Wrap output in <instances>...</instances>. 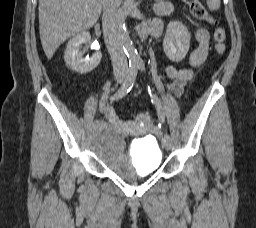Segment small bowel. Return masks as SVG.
<instances>
[{"label": "small bowel", "mask_w": 256, "mask_h": 228, "mask_svg": "<svg viewBox=\"0 0 256 228\" xmlns=\"http://www.w3.org/2000/svg\"><path fill=\"white\" fill-rule=\"evenodd\" d=\"M155 11L158 16H165L173 11V7L168 2H158L155 5ZM154 25L161 29L159 20H156ZM195 37L198 42V46L189 55V64L192 67H197L204 63L208 55L210 43V34L205 28H199L195 33ZM163 70L171 80V83L167 84V87L177 96L181 95L187 82L193 77L192 70L187 68H177L173 65H168ZM102 110L104 116L110 123L115 126L121 125V120L113 107L103 103ZM151 131L158 132L159 128H152Z\"/></svg>", "instance_id": "small-bowel-1"}]
</instances>
